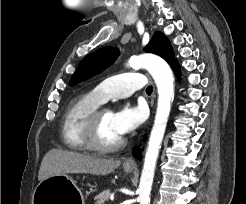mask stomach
Wrapping results in <instances>:
<instances>
[{
    "mask_svg": "<svg viewBox=\"0 0 246 204\" xmlns=\"http://www.w3.org/2000/svg\"><path fill=\"white\" fill-rule=\"evenodd\" d=\"M132 168H124L131 173ZM84 198L72 177L54 175L41 181L34 190L32 204H83Z\"/></svg>",
    "mask_w": 246,
    "mask_h": 204,
    "instance_id": "stomach-1",
    "label": "stomach"
}]
</instances>
